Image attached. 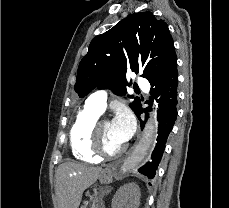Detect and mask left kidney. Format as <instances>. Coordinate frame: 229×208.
Here are the masks:
<instances>
[{
    "mask_svg": "<svg viewBox=\"0 0 229 208\" xmlns=\"http://www.w3.org/2000/svg\"><path fill=\"white\" fill-rule=\"evenodd\" d=\"M140 188L134 182L124 184L113 196L112 208H138Z\"/></svg>",
    "mask_w": 229,
    "mask_h": 208,
    "instance_id": "left-kidney-1",
    "label": "left kidney"
}]
</instances>
